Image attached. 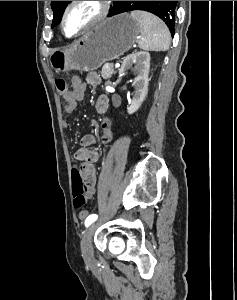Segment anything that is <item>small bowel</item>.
<instances>
[{
	"label": "small bowel",
	"instance_id": "1",
	"mask_svg": "<svg viewBox=\"0 0 237 300\" xmlns=\"http://www.w3.org/2000/svg\"><path fill=\"white\" fill-rule=\"evenodd\" d=\"M100 75L96 72H90L86 76V83L92 86H96L100 83ZM73 88L79 85H84L79 77H73L71 80ZM64 100V111L66 113H72L77 103L80 101L72 96L70 92L62 94ZM95 109L99 114L107 113L109 109V99L105 95H100L95 102ZM100 143L108 144L111 142L114 136V125L113 121L105 117L100 122ZM97 144V139L93 134L84 135L79 142V149L75 152V159L80 162L77 168L84 181V191L85 197L91 198L95 194V184H96V169L95 163L100 158V151L97 148H92ZM87 216L86 211H81L79 217L84 219Z\"/></svg>",
	"mask_w": 237,
	"mask_h": 300
}]
</instances>
